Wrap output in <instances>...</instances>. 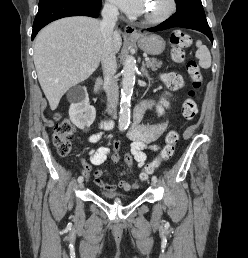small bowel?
<instances>
[{
  "instance_id": "1",
  "label": "small bowel",
  "mask_w": 248,
  "mask_h": 258,
  "mask_svg": "<svg viewBox=\"0 0 248 258\" xmlns=\"http://www.w3.org/2000/svg\"><path fill=\"white\" fill-rule=\"evenodd\" d=\"M181 81V77L174 73L170 74ZM152 101L142 102L136 109L135 119L131 127L127 132V137L131 141L130 152L134 154V161L139 167L145 166L147 162V155L145 153L146 149H150L154 152L160 150V145L154 143L165 131L166 123H158L156 125H145L141 124L142 114L152 106ZM102 129H109L111 127L110 123H103L101 125ZM102 133L93 134L89 137L90 142L97 143L100 141ZM109 148L101 146L98 149L90 150V162L92 165L98 166L105 162L109 155ZM86 170H90L91 166L87 163L84 164ZM95 184L106 191H114L116 188H120L125 191H130L136 188V185L121 180L117 183H107L101 180L102 171L95 169L93 171Z\"/></svg>"
}]
</instances>
